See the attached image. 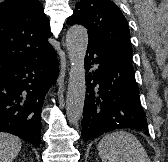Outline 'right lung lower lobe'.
I'll use <instances>...</instances> for the list:
<instances>
[{
    "label": "right lung lower lobe",
    "instance_id": "98d812e1",
    "mask_svg": "<svg viewBox=\"0 0 168 162\" xmlns=\"http://www.w3.org/2000/svg\"><path fill=\"white\" fill-rule=\"evenodd\" d=\"M57 75L54 50L0 74V132L12 133L39 147L42 104Z\"/></svg>",
    "mask_w": 168,
    "mask_h": 162
}]
</instances>
